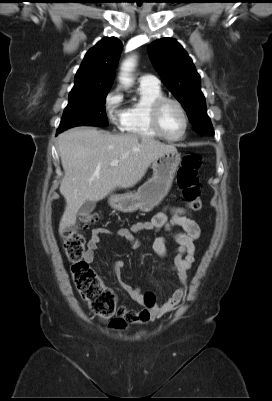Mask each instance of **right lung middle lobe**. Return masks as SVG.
Returning a JSON list of instances; mask_svg holds the SVG:
<instances>
[{"label":"right lung middle lobe","instance_id":"dd1d6c3e","mask_svg":"<svg viewBox=\"0 0 272 401\" xmlns=\"http://www.w3.org/2000/svg\"><path fill=\"white\" fill-rule=\"evenodd\" d=\"M109 91L110 88L96 89L69 96L57 134L80 125L108 126L105 102Z\"/></svg>","mask_w":272,"mask_h":401}]
</instances>
